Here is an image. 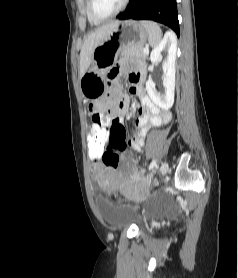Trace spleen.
Segmentation results:
<instances>
[{"mask_svg": "<svg viewBox=\"0 0 238 278\" xmlns=\"http://www.w3.org/2000/svg\"><path fill=\"white\" fill-rule=\"evenodd\" d=\"M142 23L148 30V40L150 45L156 47L160 43L162 37V31L160 27L157 23L151 21H143Z\"/></svg>", "mask_w": 238, "mask_h": 278, "instance_id": "3e777b00", "label": "spleen"}]
</instances>
